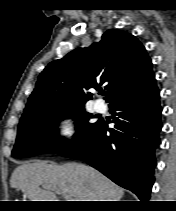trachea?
Instances as JSON below:
<instances>
[{"instance_id":"trachea-1","label":"trachea","mask_w":176,"mask_h":211,"mask_svg":"<svg viewBox=\"0 0 176 211\" xmlns=\"http://www.w3.org/2000/svg\"><path fill=\"white\" fill-rule=\"evenodd\" d=\"M101 95H106V92L102 91V92H101Z\"/></svg>"}]
</instances>
